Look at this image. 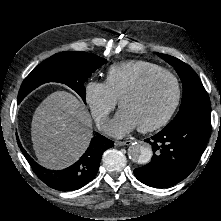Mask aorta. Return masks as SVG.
Listing matches in <instances>:
<instances>
[{"label": "aorta", "instance_id": "762f6f07", "mask_svg": "<svg viewBox=\"0 0 221 221\" xmlns=\"http://www.w3.org/2000/svg\"><path fill=\"white\" fill-rule=\"evenodd\" d=\"M152 155V147L146 142H133L128 147V156L136 164L142 165L148 163L151 160Z\"/></svg>", "mask_w": 221, "mask_h": 221}]
</instances>
